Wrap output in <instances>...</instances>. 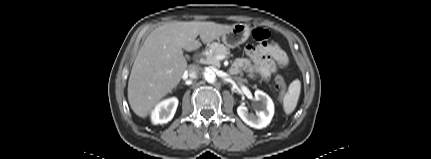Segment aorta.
I'll return each mask as SVG.
<instances>
[{"label": "aorta", "mask_w": 431, "mask_h": 159, "mask_svg": "<svg viewBox=\"0 0 431 159\" xmlns=\"http://www.w3.org/2000/svg\"><path fill=\"white\" fill-rule=\"evenodd\" d=\"M203 76L205 77V81H207L208 83H214L216 81V76L214 72H210L209 70H206L203 73Z\"/></svg>", "instance_id": "aorta-1"}]
</instances>
